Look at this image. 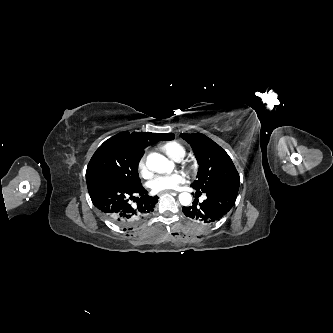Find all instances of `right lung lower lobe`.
<instances>
[{"label":"right lung lower lobe","mask_w":333,"mask_h":333,"mask_svg":"<svg viewBox=\"0 0 333 333\" xmlns=\"http://www.w3.org/2000/svg\"><path fill=\"white\" fill-rule=\"evenodd\" d=\"M86 181L94 206L120 227H132L145 219L158 201L157 196L145 195L147 191L141 183L131 185L102 174L91 175ZM138 195L141 197L136 198Z\"/></svg>","instance_id":"98d812e1"}]
</instances>
